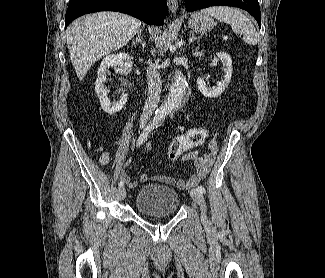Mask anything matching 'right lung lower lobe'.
<instances>
[{
  "label": "right lung lower lobe",
  "mask_w": 325,
  "mask_h": 278,
  "mask_svg": "<svg viewBox=\"0 0 325 278\" xmlns=\"http://www.w3.org/2000/svg\"><path fill=\"white\" fill-rule=\"evenodd\" d=\"M106 10L126 13L155 25H162L168 14L166 0H70L65 27L79 16Z\"/></svg>",
  "instance_id": "1"
}]
</instances>
